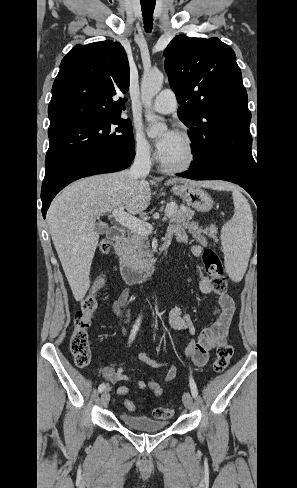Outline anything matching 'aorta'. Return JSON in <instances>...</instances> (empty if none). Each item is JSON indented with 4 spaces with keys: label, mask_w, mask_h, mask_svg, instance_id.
I'll return each mask as SVG.
<instances>
[{
    "label": "aorta",
    "mask_w": 297,
    "mask_h": 488,
    "mask_svg": "<svg viewBox=\"0 0 297 488\" xmlns=\"http://www.w3.org/2000/svg\"><path fill=\"white\" fill-rule=\"evenodd\" d=\"M163 80L164 75L160 71L144 73L141 80V99L145 107V119L149 122L150 135H156L166 128L160 118L151 111L153 98L161 90Z\"/></svg>",
    "instance_id": "aorta-1"
}]
</instances>
